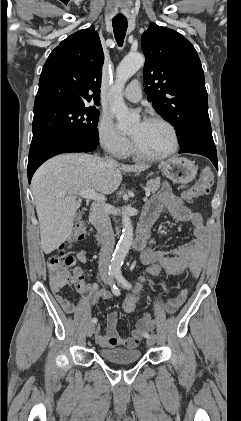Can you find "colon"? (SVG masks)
Wrapping results in <instances>:
<instances>
[{
    "instance_id": "colon-1",
    "label": "colon",
    "mask_w": 241,
    "mask_h": 421,
    "mask_svg": "<svg viewBox=\"0 0 241 421\" xmlns=\"http://www.w3.org/2000/svg\"><path fill=\"white\" fill-rule=\"evenodd\" d=\"M213 183V173L205 167L201 170L197 182L183 193V198L187 202H193L196 198L204 196L209 193ZM85 235V226L82 222H77L71 235L69 242H76L81 240ZM76 259L72 255H66L64 252H59L50 255L47 260L49 278L52 285L60 286L71 282L78 275L80 268L76 267ZM71 269L73 273H71ZM163 267L159 263H151L147 267L144 275L136 283L135 288L127 295L122 304V308L126 313H131L135 310L136 304L141 298L147 285L162 273Z\"/></svg>"
}]
</instances>
